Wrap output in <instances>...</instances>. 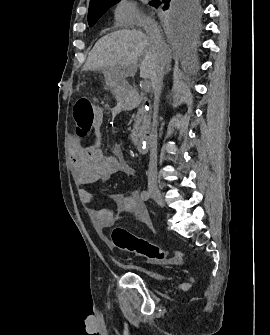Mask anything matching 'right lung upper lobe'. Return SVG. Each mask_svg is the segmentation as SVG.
<instances>
[{
    "instance_id": "cb5924a9",
    "label": "right lung upper lobe",
    "mask_w": 270,
    "mask_h": 335,
    "mask_svg": "<svg viewBox=\"0 0 270 335\" xmlns=\"http://www.w3.org/2000/svg\"><path fill=\"white\" fill-rule=\"evenodd\" d=\"M120 0H90L89 6H98L105 3H114Z\"/></svg>"
}]
</instances>
